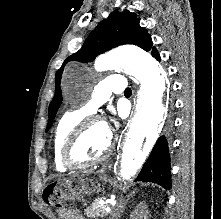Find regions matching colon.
Masks as SVG:
<instances>
[{"label": "colon", "instance_id": "obj_1", "mask_svg": "<svg viewBox=\"0 0 221 219\" xmlns=\"http://www.w3.org/2000/svg\"><path fill=\"white\" fill-rule=\"evenodd\" d=\"M51 204L57 208L68 209L72 205V194L66 192L60 184L50 185L45 193L46 197L52 196Z\"/></svg>", "mask_w": 221, "mask_h": 219}]
</instances>
